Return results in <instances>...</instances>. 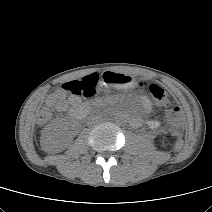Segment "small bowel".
Masks as SVG:
<instances>
[{
	"mask_svg": "<svg viewBox=\"0 0 212 212\" xmlns=\"http://www.w3.org/2000/svg\"><path fill=\"white\" fill-rule=\"evenodd\" d=\"M46 104L48 106H55L57 111H64L68 107H73L77 104H80V99L75 96L66 98L64 95H60L57 93L49 96L46 100ZM144 109L145 111H148L150 109V105L147 101H144ZM148 124L151 127H156L158 125V122L155 120H150L148 121Z\"/></svg>",
	"mask_w": 212,
	"mask_h": 212,
	"instance_id": "obj_1",
	"label": "small bowel"
}]
</instances>
